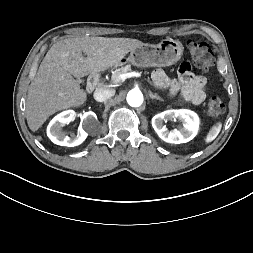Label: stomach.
Returning <instances> with one entry per match:
<instances>
[{"label":"stomach","instance_id":"stomach-1","mask_svg":"<svg viewBox=\"0 0 253 253\" xmlns=\"http://www.w3.org/2000/svg\"><path fill=\"white\" fill-rule=\"evenodd\" d=\"M180 41L167 38L159 44H143L130 51L128 58L121 62H130L137 67H165L178 62L183 54Z\"/></svg>","mask_w":253,"mask_h":253}]
</instances>
